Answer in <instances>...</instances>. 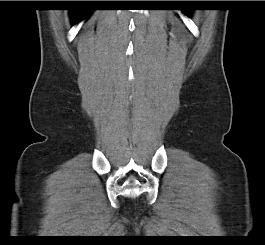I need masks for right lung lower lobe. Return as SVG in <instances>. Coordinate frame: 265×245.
<instances>
[{"label": "right lung lower lobe", "mask_w": 265, "mask_h": 245, "mask_svg": "<svg viewBox=\"0 0 265 245\" xmlns=\"http://www.w3.org/2000/svg\"><path fill=\"white\" fill-rule=\"evenodd\" d=\"M91 10L89 9H77V10H72L71 17L73 23H77L80 20H82L84 17H86Z\"/></svg>", "instance_id": "right-lung-lower-lobe-1"}]
</instances>
